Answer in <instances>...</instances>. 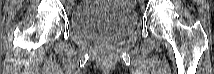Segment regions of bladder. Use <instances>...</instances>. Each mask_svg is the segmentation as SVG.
Returning a JSON list of instances; mask_svg holds the SVG:
<instances>
[{
    "label": "bladder",
    "instance_id": "obj_1",
    "mask_svg": "<svg viewBox=\"0 0 214 74\" xmlns=\"http://www.w3.org/2000/svg\"><path fill=\"white\" fill-rule=\"evenodd\" d=\"M136 23L133 9L111 0L82 2L70 15L71 30L85 38L109 32L118 39L131 32Z\"/></svg>",
    "mask_w": 214,
    "mask_h": 74
}]
</instances>
